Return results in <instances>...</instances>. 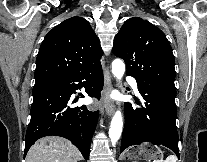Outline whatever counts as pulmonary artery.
Segmentation results:
<instances>
[{
    "instance_id": "1",
    "label": "pulmonary artery",
    "mask_w": 207,
    "mask_h": 162,
    "mask_svg": "<svg viewBox=\"0 0 207 162\" xmlns=\"http://www.w3.org/2000/svg\"><path fill=\"white\" fill-rule=\"evenodd\" d=\"M128 82L130 84V86L132 87V89L138 93V84L136 82V80L134 78H129Z\"/></svg>"
}]
</instances>
